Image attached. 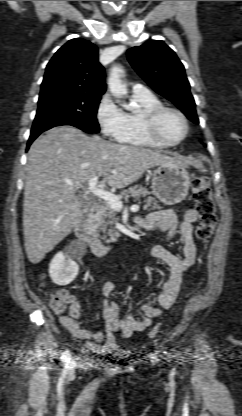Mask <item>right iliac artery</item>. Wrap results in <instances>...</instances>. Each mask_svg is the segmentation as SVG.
Instances as JSON below:
<instances>
[{
	"label": "right iliac artery",
	"mask_w": 242,
	"mask_h": 416,
	"mask_svg": "<svg viewBox=\"0 0 242 416\" xmlns=\"http://www.w3.org/2000/svg\"><path fill=\"white\" fill-rule=\"evenodd\" d=\"M61 362L63 365L68 366V362H69V350L66 349L61 356Z\"/></svg>",
	"instance_id": "obj_1"
}]
</instances>
